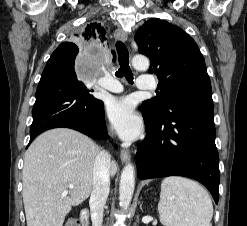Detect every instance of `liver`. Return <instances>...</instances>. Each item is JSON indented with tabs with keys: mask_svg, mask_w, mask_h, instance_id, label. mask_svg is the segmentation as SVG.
Returning a JSON list of instances; mask_svg holds the SVG:
<instances>
[{
	"mask_svg": "<svg viewBox=\"0 0 247 226\" xmlns=\"http://www.w3.org/2000/svg\"><path fill=\"white\" fill-rule=\"evenodd\" d=\"M99 152L89 137L68 128L46 131L32 142L23 167L27 226L63 225L72 206L81 204L92 192L93 167ZM116 171L117 165L112 162L111 176Z\"/></svg>",
	"mask_w": 247,
	"mask_h": 226,
	"instance_id": "6515ba94",
	"label": "liver"
}]
</instances>
